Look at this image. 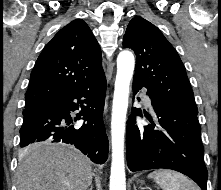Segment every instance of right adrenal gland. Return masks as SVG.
Listing matches in <instances>:
<instances>
[{"label": "right adrenal gland", "instance_id": "1", "mask_svg": "<svg viewBox=\"0 0 221 190\" xmlns=\"http://www.w3.org/2000/svg\"><path fill=\"white\" fill-rule=\"evenodd\" d=\"M88 190H93V187H92V186H90V188H89Z\"/></svg>", "mask_w": 221, "mask_h": 190}]
</instances>
